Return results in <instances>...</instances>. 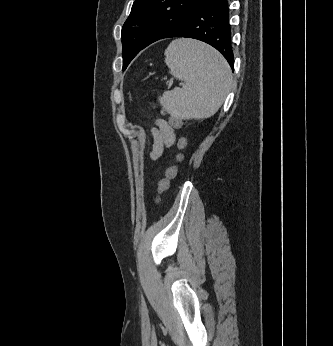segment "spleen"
Returning <instances> with one entry per match:
<instances>
[{
	"label": "spleen",
	"instance_id": "obj_1",
	"mask_svg": "<svg viewBox=\"0 0 333 346\" xmlns=\"http://www.w3.org/2000/svg\"><path fill=\"white\" fill-rule=\"evenodd\" d=\"M170 73L184 80V88L166 91L160 104L171 116L204 119L215 114L232 89L233 77L224 57L211 46L176 39L165 50Z\"/></svg>",
	"mask_w": 333,
	"mask_h": 346
}]
</instances>
